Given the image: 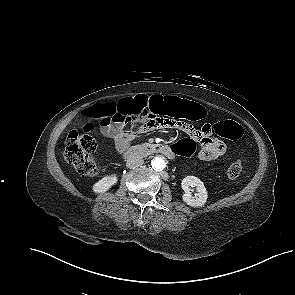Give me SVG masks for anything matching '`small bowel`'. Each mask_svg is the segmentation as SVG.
I'll return each instance as SVG.
<instances>
[{
  "instance_id": "small-bowel-1",
  "label": "small bowel",
  "mask_w": 295,
  "mask_h": 295,
  "mask_svg": "<svg viewBox=\"0 0 295 295\" xmlns=\"http://www.w3.org/2000/svg\"><path fill=\"white\" fill-rule=\"evenodd\" d=\"M162 98V97H160ZM140 123L137 129H127L126 124ZM159 128H172L184 131L189 135L191 141L200 143L198 157L202 161H213L226 152V145L219 139L212 136V126L205 124L201 129H195L186 124L183 120H175L169 117L158 118L154 115H140L126 117L112 121H101L100 132L107 138L114 141L118 153L124 152L138 135L148 133Z\"/></svg>"
}]
</instances>
